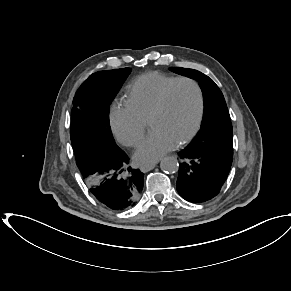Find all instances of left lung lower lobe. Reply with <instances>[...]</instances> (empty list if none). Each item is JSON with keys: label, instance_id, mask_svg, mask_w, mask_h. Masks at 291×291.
Returning a JSON list of instances; mask_svg holds the SVG:
<instances>
[{"label": "left lung lower lobe", "instance_id": "obj_1", "mask_svg": "<svg viewBox=\"0 0 291 291\" xmlns=\"http://www.w3.org/2000/svg\"><path fill=\"white\" fill-rule=\"evenodd\" d=\"M179 157L182 162L176 188L182 198L202 203L219 194L230 172L233 156L212 149L186 147Z\"/></svg>", "mask_w": 291, "mask_h": 291}]
</instances>
